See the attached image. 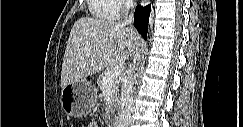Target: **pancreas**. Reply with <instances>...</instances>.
<instances>
[{"label":"pancreas","instance_id":"obj_1","mask_svg":"<svg viewBox=\"0 0 243 127\" xmlns=\"http://www.w3.org/2000/svg\"><path fill=\"white\" fill-rule=\"evenodd\" d=\"M112 69L109 70H105L103 71L97 80V84L98 87L103 91V92H108L109 97L108 99H106V106H107V110L113 108V106L115 105V102L118 99V85H119V80L115 79L110 85L105 86L103 83V79L105 77V75L111 71ZM107 87V88H106Z\"/></svg>","mask_w":243,"mask_h":127}]
</instances>
